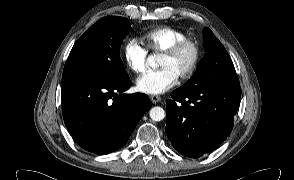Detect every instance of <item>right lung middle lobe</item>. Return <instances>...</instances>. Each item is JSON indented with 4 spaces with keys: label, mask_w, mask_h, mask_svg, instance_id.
<instances>
[{
    "label": "right lung middle lobe",
    "mask_w": 294,
    "mask_h": 180,
    "mask_svg": "<svg viewBox=\"0 0 294 180\" xmlns=\"http://www.w3.org/2000/svg\"><path fill=\"white\" fill-rule=\"evenodd\" d=\"M130 29V22L118 16L105 17L90 27L74 44L62 83L79 78L127 80L119 49Z\"/></svg>",
    "instance_id": "dd1d6c3e"
}]
</instances>
